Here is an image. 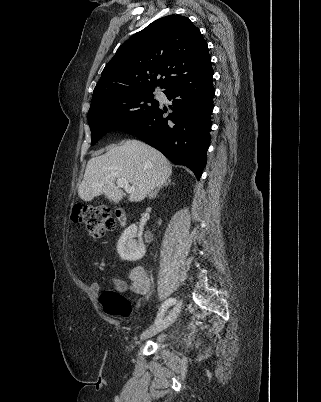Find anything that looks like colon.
I'll return each instance as SVG.
<instances>
[{
    "label": "colon",
    "mask_w": 321,
    "mask_h": 402,
    "mask_svg": "<svg viewBox=\"0 0 321 402\" xmlns=\"http://www.w3.org/2000/svg\"><path fill=\"white\" fill-rule=\"evenodd\" d=\"M74 223L86 227L89 235L98 237L115 228V220L109 208L96 205L75 206L71 213ZM104 312L112 317L127 318L131 314V303L123 294L108 290L100 298Z\"/></svg>",
    "instance_id": "colon-1"
}]
</instances>
